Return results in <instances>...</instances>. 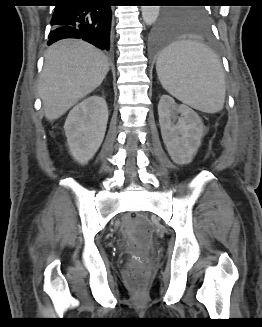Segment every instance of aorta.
Wrapping results in <instances>:
<instances>
[{
	"mask_svg": "<svg viewBox=\"0 0 262 327\" xmlns=\"http://www.w3.org/2000/svg\"><path fill=\"white\" fill-rule=\"evenodd\" d=\"M159 6H142V18L146 25L154 24L159 16Z\"/></svg>",
	"mask_w": 262,
	"mask_h": 327,
	"instance_id": "aorta-1",
	"label": "aorta"
}]
</instances>
